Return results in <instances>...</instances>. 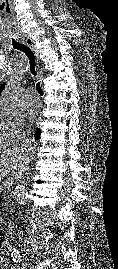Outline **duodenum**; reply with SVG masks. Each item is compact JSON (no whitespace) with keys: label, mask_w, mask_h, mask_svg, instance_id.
Listing matches in <instances>:
<instances>
[{"label":"duodenum","mask_w":118,"mask_h":269,"mask_svg":"<svg viewBox=\"0 0 118 269\" xmlns=\"http://www.w3.org/2000/svg\"><path fill=\"white\" fill-rule=\"evenodd\" d=\"M17 229V223L14 221H7L4 225V231L7 234H12Z\"/></svg>","instance_id":"410a0bca"}]
</instances>
